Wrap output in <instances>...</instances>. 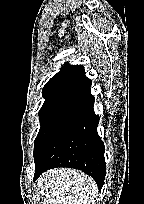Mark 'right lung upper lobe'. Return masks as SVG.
<instances>
[{
	"label": "right lung upper lobe",
	"mask_w": 144,
	"mask_h": 204,
	"mask_svg": "<svg viewBox=\"0 0 144 204\" xmlns=\"http://www.w3.org/2000/svg\"><path fill=\"white\" fill-rule=\"evenodd\" d=\"M91 81L85 76L82 65L64 64L44 86L42 96L45 101L58 97L77 98L90 92Z\"/></svg>",
	"instance_id": "right-lung-upper-lobe-1"
}]
</instances>
